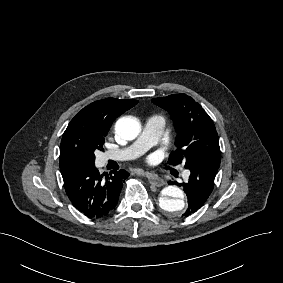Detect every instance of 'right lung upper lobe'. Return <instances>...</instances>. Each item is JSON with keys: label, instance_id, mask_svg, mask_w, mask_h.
I'll use <instances>...</instances> for the list:
<instances>
[{"label": "right lung upper lobe", "instance_id": "right-lung-upper-lobe-1", "mask_svg": "<svg viewBox=\"0 0 283 283\" xmlns=\"http://www.w3.org/2000/svg\"><path fill=\"white\" fill-rule=\"evenodd\" d=\"M138 103L137 100L106 98L84 107L71 120L69 125L80 127H97L108 131L112 122L119 115Z\"/></svg>", "mask_w": 283, "mask_h": 283}]
</instances>
